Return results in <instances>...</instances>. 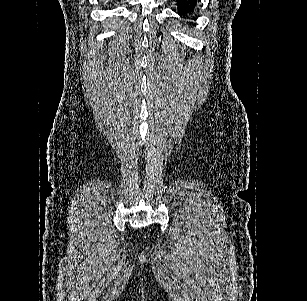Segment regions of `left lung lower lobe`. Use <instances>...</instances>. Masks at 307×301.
Wrapping results in <instances>:
<instances>
[{
  "label": "left lung lower lobe",
  "mask_w": 307,
  "mask_h": 301,
  "mask_svg": "<svg viewBox=\"0 0 307 301\" xmlns=\"http://www.w3.org/2000/svg\"><path fill=\"white\" fill-rule=\"evenodd\" d=\"M197 0H177L178 13L181 16H186L188 13H192L196 7Z\"/></svg>",
  "instance_id": "obj_1"
}]
</instances>
